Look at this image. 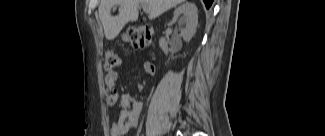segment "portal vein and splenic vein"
Returning <instances> with one entry per match:
<instances>
[{
    "label": "portal vein and splenic vein",
    "instance_id": "portal-vein-and-splenic-vein-1",
    "mask_svg": "<svg viewBox=\"0 0 325 136\" xmlns=\"http://www.w3.org/2000/svg\"><path fill=\"white\" fill-rule=\"evenodd\" d=\"M142 8H143V11L149 12V9H148L147 5L144 4Z\"/></svg>",
    "mask_w": 325,
    "mask_h": 136
}]
</instances>
